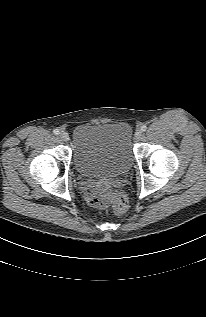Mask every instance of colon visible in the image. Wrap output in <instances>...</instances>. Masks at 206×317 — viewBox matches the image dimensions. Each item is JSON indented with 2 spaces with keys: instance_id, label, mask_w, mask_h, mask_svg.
<instances>
[{
  "instance_id": "1",
  "label": "colon",
  "mask_w": 206,
  "mask_h": 317,
  "mask_svg": "<svg viewBox=\"0 0 206 317\" xmlns=\"http://www.w3.org/2000/svg\"><path fill=\"white\" fill-rule=\"evenodd\" d=\"M88 194L89 202L95 208L104 209L111 206L119 214L127 210V198L121 193L111 191L105 187L96 186L91 188Z\"/></svg>"
}]
</instances>
